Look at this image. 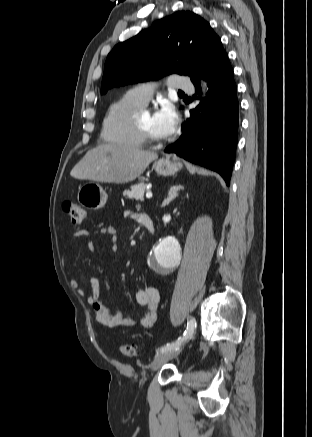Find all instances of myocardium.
<instances>
[{
	"label": "myocardium",
	"mask_w": 312,
	"mask_h": 437,
	"mask_svg": "<svg viewBox=\"0 0 312 437\" xmlns=\"http://www.w3.org/2000/svg\"><path fill=\"white\" fill-rule=\"evenodd\" d=\"M148 110L143 107L142 109H140L135 115H134V127L138 133V135L140 136L142 142L144 144H149V145H162L165 144L167 142L166 139L164 140H159L154 138L147 130H145L142 125L139 122V116L142 113L147 112Z\"/></svg>",
	"instance_id": "obj_1"
}]
</instances>
